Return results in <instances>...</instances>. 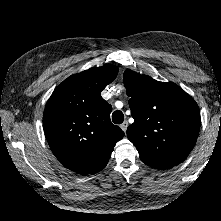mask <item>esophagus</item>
Returning a JSON list of instances; mask_svg holds the SVG:
<instances>
[{"label":"esophagus","instance_id":"34e87169","mask_svg":"<svg viewBox=\"0 0 221 221\" xmlns=\"http://www.w3.org/2000/svg\"><path fill=\"white\" fill-rule=\"evenodd\" d=\"M127 127H128V122H127V121H124V122L121 124V129H122L124 132H126Z\"/></svg>","mask_w":221,"mask_h":221}]
</instances>
